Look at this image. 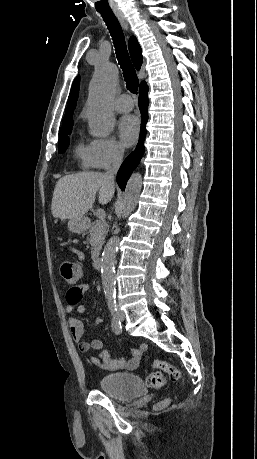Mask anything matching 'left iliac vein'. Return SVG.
Segmentation results:
<instances>
[{
	"label": "left iliac vein",
	"mask_w": 257,
	"mask_h": 459,
	"mask_svg": "<svg viewBox=\"0 0 257 459\" xmlns=\"http://www.w3.org/2000/svg\"><path fill=\"white\" fill-rule=\"evenodd\" d=\"M118 317H119V319H120L121 321L124 320L125 315H124L123 311L119 310V315H118Z\"/></svg>",
	"instance_id": "4c4485c4"
}]
</instances>
